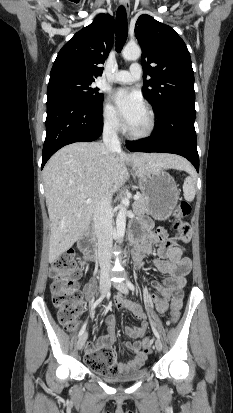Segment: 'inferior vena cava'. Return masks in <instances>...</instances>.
<instances>
[{
	"mask_svg": "<svg viewBox=\"0 0 233 413\" xmlns=\"http://www.w3.org/2000/svg\"><path fill=\"white\" fill-rule=\"evenodd\" d=\"M116 129V119H108L105 121L103 143L110 152L120 151L121 149ZM111 197V194L103 196L98 202L93 214L95 233L98 241V259L102 274L108 273L111 268V248L113 244Z\"/></svg>",
	"mask_w": 233,
	"mask_h": 413,
	"instance_id": "1",
	"label": "inferior vena cava"
}]
</instances>
